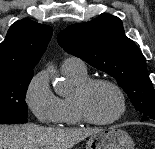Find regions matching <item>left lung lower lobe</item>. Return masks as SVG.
Listing matches in <instances>:
<instances>
[{"instance_id": "0a47b994", "label": "left lung lower lobe", "mask_w": 155, "mask_h": 149, "mask_svg": "<svg viewBox=\"0 0 155 149\" xmlns=\"http://www.w3.org/2000/svg\"><path fill=\"white\" fill-rule=\"evenodd\" d=\"M149 119H152V118H146V119H142L141 121H146V120H149Z\"/></svg>"}]
</instances>
